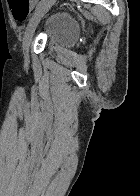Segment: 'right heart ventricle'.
Returning a JSON list of instances; mask_svg holds the SVG:
<instances>
[{"mask_svg":"<svg viewBox=\"0 0 140 196\" xmlns=\"http://www.w3.org/2000/svg\"><path fill=\"white\" fill-rule=\"evenodd\" d=\"M8 192H36V191H8Z\"/></svg>","mask_w":140,"mask_h":196,"instance_id":"right-heart-ventricle-1","label":"right heart ventricle"}]
</instances>
